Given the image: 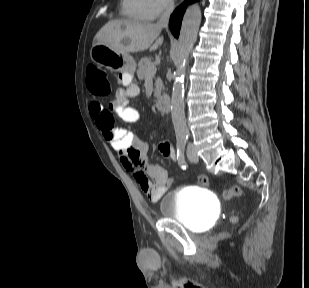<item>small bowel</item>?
Returning <instances> with one entry per match:
<instances>
[{
	"instance_id": "small-bowel-1",
	"label": "small bowel",
	"mask_w": 309,
	"mask_h": 288,
	"mask_svg": "<svg viewBox=\"0 0 309 288\" xmlns=\"http://www.w3.org/2000/svg\"><path fill=\"white\" fill-rule=\"evenodd\" d=\"M121 83L122 86L117 90L115 99L109 107L104 108L98 102H91L90 114L103 139L119 154L123 168L136 181L148 199L157 202L171 186L167 171L158 165L148 163L146 141L128 129L114 126V114L126 123H136L141 119L140 113L128 105L130 99L138 95L139 87L128 77H122ZM159 150L166 158L176 160L175 150L170 143H160ZM141 164L147 165L150 179L140 169Z\"/></svg>"
}]
</instances>
